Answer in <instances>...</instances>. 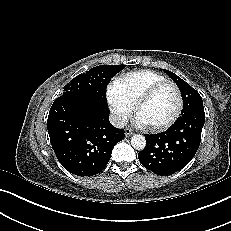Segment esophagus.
<instances>
[{
    "label": "esophagus",
    "mask_w": 231,
    "mask_h": 231,
    "mask_svg": "<svg viewBox=\"0 0 231 231\" xmlns=\"http://www.w3.org/2000/svg\"><path fill=\"white\" fill-rule=\"evenodd\" d=\"M125 131H126V135H130V134H132V130H131V129H129V128H127Z\"/></svg>",
    "instance_id": "obj_1"
}]
</instances>
